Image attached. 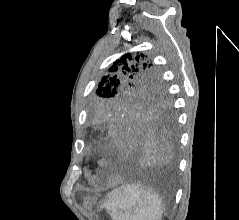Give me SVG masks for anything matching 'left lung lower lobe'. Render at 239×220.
I'll list each match as a JSON object with an SVG mask.
<instances>
[{
	"mask_svg": "<svg viewBox=\"0 0 239 220\" xmlns=\"http://www.w3.org/2000/svg\"><path fill=\"white\" fill-rule=\"evenodd\" d=\"M95 127L103 139L105 160L110 166L173 161L177 132L171 112L112 107L98 114Z\"/></svg>",
	"mask_w": 239,
	"mask_h": 220,
	"instance_id": "left-lung-lower-lobe-1",
	"label": "left lung lower lobe"
}]
</instances>
